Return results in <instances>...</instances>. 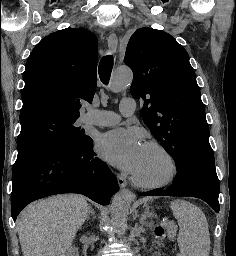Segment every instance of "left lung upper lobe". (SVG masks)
Masks as SVG:
<instances>
[{"label":"left lung upper lobe","instance_id":"1","mask_svg":"<svg viewBox=\"0 0 236 256\" xmlns=\"http://www.w3.org/2000/svg\"><path fill=\"white\" fill-rule=\"evenodd\" d=\"M125 64L131 94L144 100L142 118L176 163L214 162L209 126L187 51L168 33L143 27L130 38Z\"/></svg>","mask_w":236,"mask_h":256}]
</instances>
